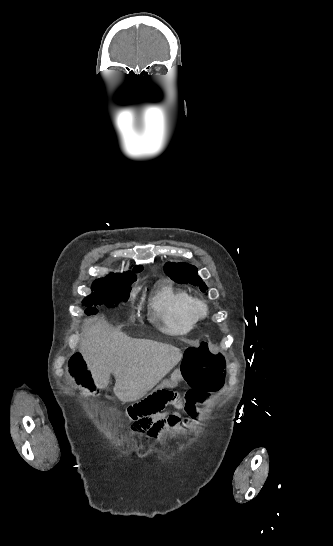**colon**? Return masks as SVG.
<instances>
[{"mask_svg": "<svg viewBox=\"0 0 333 546\" xmlns=\"http://www.w3.org/2000/svg\"><path fill=\"white\" fill-rule=\"evenodd\" d=\"M225 359L216 353L211 344L201 342L186 350L185 359L182 365L184 378L191 385L187 400L192 401L198 393L214 392L219 390L225 380L224 374ZM70 375L77 379L78 385L84 386L86 391H97L98 385L94 380L88 379L92 375L86 371V360L82 354H74L68 361ZM81 379V380H80ZM176 400L175 395L167 390L161 393H152L137 403L130 402L126 407L127 416L135 418L137 422H144L146 418H153L158 411Z\"/></svg>", "mask_w": 333, "mask_h": 546, "instance_id": "1", "label": "colon"}]
</instances>
